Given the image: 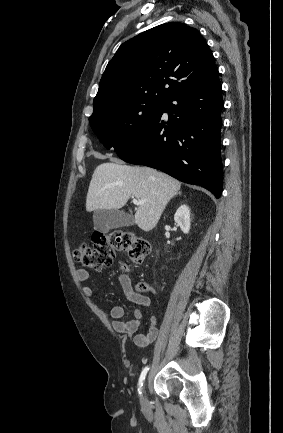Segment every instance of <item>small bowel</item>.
<instances>
[{"label": "small bowel", "mask_w": 283, "mask_h": 433, "mask_svg": "<svg viewBox=\"0 0 283 433\" xmlns=\"http://www.w3.org/2000/svg\"><path fill=\"white\" fill-rule=\"evenodd\" d=\"M77 278L81 282H85L89 279V273L86 270L80 269L77 271ZM124 294L127 298L135 303L138 308L135 309L133 319L125 321L123 317L125 310L121 305H114L110 310V316L112 318L113 329L121 334L127 336H133L134 343L139 347H145L153 342L159 333L157 327V318L155 315L150 317V325L146 333H137L142 320V307L149 308L151 306V300L148 296L136 292L132 286L131 280L128 277H122L120 279ZM83 292L86 296H93L94 290L91 286H84Z\"/></svg>", "instance_id": "obj_1"}]
</instances>
